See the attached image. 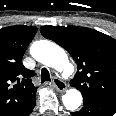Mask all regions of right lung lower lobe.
Listing matches in <instances>:
<instances>
[{
  "label": "right lung lower lobe",
  "mask_w": 116,
  "mask_h": 116,
  "mask_svg": "<svg viewBox=\"0 0 116 116\" xmlns=\"http://www.w3.org/2000/svg\"><path fill=\"white\" fill-rule=\"evenodd\" d=\"M34 108V107H33ZM33 108L31 110H29L24 116H29L30 113L32 112Z\"/></svg>",
  "instance_id": "right-lung-lower-lobe-1"
}]
</instances>
